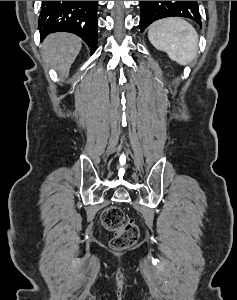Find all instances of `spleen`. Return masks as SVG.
Wrapping results in <instances>:
<instances>
[{
  "label": "spleen",
  "mask_w": 237,
  "mask_h": 300,
  "mask_svg": "<svg viewBox=\"0 0 237 300\" xmlns=\"http://www.w3.org/2000/svg\"><path fill=\"white\" fill-rule=\"evenodd\" d=\"M148 39L155 49L167 53L169 59L178 65H189L196 59L199 41L197 31L181 17L155 21L149 27Z\"/></svg>",
  "instance_id": "1"
}]
</instances>
